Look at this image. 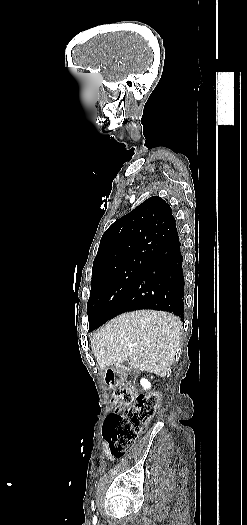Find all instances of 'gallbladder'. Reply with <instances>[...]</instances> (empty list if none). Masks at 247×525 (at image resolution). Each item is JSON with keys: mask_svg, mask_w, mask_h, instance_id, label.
Here are the masks:
<instances>
[{"mask_svg": "<svg viewBox=\"0 0 247 525\" xmlns=\"http://www.w3.org/2000/svg\"><path fill=\"white\" fill-rule=\"evenodd\" d=\"M132 372H135V369H132Z\"/></svg>", "mask_w": 247, "mask_h": 525, "instance_id": "gallbladder-1", "label": "gallbladder"}]
</instances>
